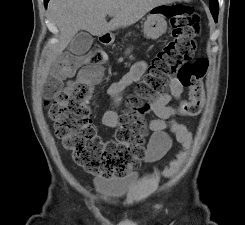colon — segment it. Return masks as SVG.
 I'll list each match as a JSON object with an SVG mask.
<instances>
[{"instance_id": "obj_1", "label": "colon", "mask_w": 245, "mask_h": 225, "mask_svg": "<svg viewBox=\"0 0 245 225\" xmlns=\"http://www.w3.org/2000/svg\"><path fill=\"white\" fill-rule=\"evenodd\" d=\"M173 39L153 58L147 73L135 85V94L129 98V111L120 119L116 140L102 147L92 125L91 98L93 90L87 82L91 75L83 73L75 77L80 57L68 56L55 75L49 80L47 90L55 101L49 115L54 122L55 134L71 152L75 163L88 173L105 178L123 177L137 164V158L145 153L148 129L144 123V101L166 93L167 85L174 76L189 89V98L180 104L179 113L184 116L198 115L204 106L203 78L207 62L194 60L196 38L200 33L199 14L192 6L169 7ZM107 54L99 49L88 52L86 63L100 66ZM100 74L96 73V77ZM67 81L66 84L64 82ZM183 149L165 167L168 177H175L185 163L191 137L183 135Z\"/></svg>"}]
</instances>
